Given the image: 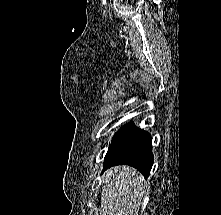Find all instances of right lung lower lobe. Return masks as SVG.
Segmentation results:
<instances>
[{"label":"right lung lower lobe","mask_w":221,"mask_h":215,"mask_svg":"<svg viewBox=\"0 0 221 215\" xmlns=\"http://www.w3.org/2000/svg\"><path fill=\"white\" fill-rule=\"evenodd\" d=\"M153 162L150 134L130 122L114 135L105 156L104 170L125 164L138 169L147 178Z\"/></svg>","instance_id":"98d812e1"}]
</instances>
